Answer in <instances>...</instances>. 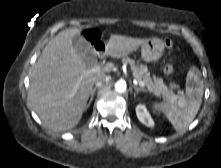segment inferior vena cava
Here are the masks:
<instances>
[{"instance_id": "obj_1", "label": "inferior vena cava", "mask_w": 221, "mask_h": 168, "mask_svg": "<svg viewBox=\"0 0 221 168\" xmlns=\"http://www.w3.org/2000/svg\"><path fill=\"white\" fill-rule=\"evenodd\" d=\"M108 81H109V77L104 76V77L98 78L95 83H96L97 87H100V86L106 84Z\"/></svg>"}]
</instances>
